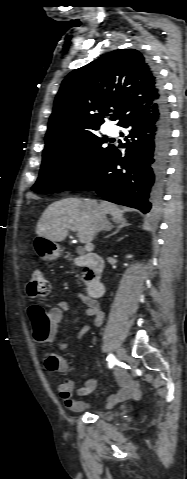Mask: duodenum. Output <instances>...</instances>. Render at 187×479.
Wrapping results in <instances>:
<instances>
[{
    "instance_id": "duodenum-1",
    "label": "duodenum",
    "mask_w": 187,
    "mask_h": 479,
    "mask_svg": "<svg viewBox=\"0 0 187 479\" xmlns=\"http://www.w3.org/2000/svg\"><path fill=\"white\" fill-rule=\"evenodd\" d=\"M75 264L87 272V293L93 298H100L104 294V285L97 274L103 268V261L96 254L85 253L75 260Z\"/></svg>"
}]
</instances>
